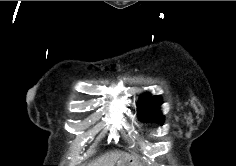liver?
<instances>
[{
	"label": "liver",
	"mask_w": 236,
	"mask_h": 166,
	"mask_svg": "<svg viewBox=\"0 0 236 166\" xmlns=\"http://www.w3.org/2000/svg\"><path fill=\"white\" fill-rule=\"evenodd\" d=\"M132 159L127 153L120 151H113L106 153L98 159L92 161L87 166H115L121 160Z\"/></svg>",
	"instance_id": "6515ba94"
}]
</instances>
